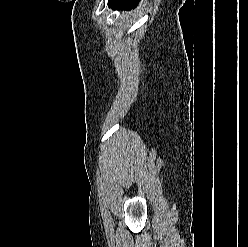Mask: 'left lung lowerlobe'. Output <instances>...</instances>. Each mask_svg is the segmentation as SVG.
Segmentation results:
<instances>
[{
    "mask_svg": "<svg viewBox=\"0 0 248 247\" xmlns=\"http://www.w3.org/2000/svg\"><path fill=\"white\" fill-rule=\"evenodd\" d=\"M139 0H108V5L113 8L127 7L134 8L138 4Z\"/></svg>",
    "mask_w": 248,
    "mask_h": 247,
    "instance_id": "obj_1",
    "label": "left lung lower lobe"
}]
</instances>
